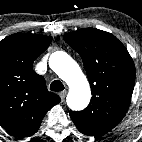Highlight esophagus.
Segmentation results:
<instances>
[{"label":"esophagus","instance_id":"34e87169","mask_svg":"<svg viewBox=\"0 0 142 142\" xmlns=\"http://www.w3.org/2000/svg\"><path fill=\"white\" fill-rule=\"evenodd\" d=\"M67 92L66 91H62L59 93V96L61 98V102H63L65 100Z\"/></svg>","mask_w":142,"mask_h":142}]
</instances>
